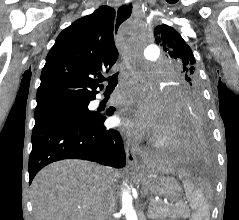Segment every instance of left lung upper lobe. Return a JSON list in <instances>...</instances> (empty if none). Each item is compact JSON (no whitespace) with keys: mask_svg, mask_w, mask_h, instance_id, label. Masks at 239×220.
Wrapping results in <instances>:
<instances>
[{"mask_svg":"<svg viewBox=\"0 0 239 220\" xmlns=\"http://www.w3.org/2000/svg\"><path fill=\"white\" fill-rule=\"evenodd\" d=\"M154 36L175 70V80L168 90L167 107L171 117L196 106L204 109L201 83L191 48L174 28L165 24L154 29Z\"/></svg>","mask_w":239,"mask_h":220,"instance_id":"1","label":"left lung upper lobe"}]
</instances>
